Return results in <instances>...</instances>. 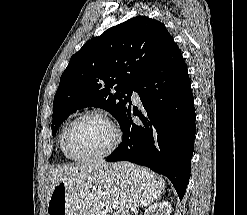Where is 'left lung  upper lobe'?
<instances>
[{
    "instance_id": "left-lung-upper-lobe-1",
    "label": "left lung upper lobe",
    "mask_w": 247,
    "mask_h": 215,
    "mask_svg": "<svg viewBox=\"0 0 247 215\" xmlns=\"http://www.w3.org/2000/svg\"><path fill=\"white\" fill-rule=\"evenodd\" d=\"M171 40L161 22L137 16L87 41L61 76L53 101V134L57 131L54 125L91 106L107 110L121 124L131 109L132 92Z\"/></svg>"
}]
</instances>
